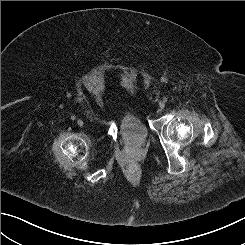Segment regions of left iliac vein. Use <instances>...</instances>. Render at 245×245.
<instances>
[{
	"instance_id": "obj_1",
	"label": "left iliac vein",
	"mask_w": 245,
	"mask_h": 245,
	"mask_svg": "<svg viewBox=\"0 0 245 245\" xmlns=\"http://www.w3.org/2000/svg\"><path fill=\"white\" fill-rule=\"evenodd\" d=\"M159 107L163 109L165 107V103L163 101H160L159 102Z\"/></svg>"
}]
</instances>
